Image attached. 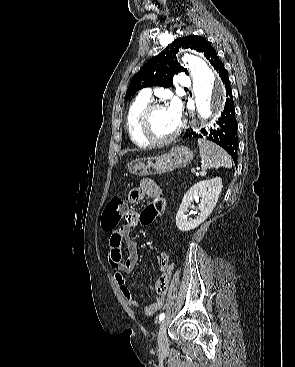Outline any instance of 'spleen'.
I'll return each instance as SVG.
<instances>
[{
  "instance_id": "obj_1",
  "label": "spleen",
  "mask_w": 295,
  "mask_h": 367,
  "mask_svg": "<svg viewBox=\"0 0 295 367\" xmlns=\"http://www.w3.org/2000/svg\"><path fill=\"white\" fill-rule=\"evenodd\" d=\"M200 157L202 159L203 173L207 169H214L225 167L230 169L232 167L231 157L220 146L207 141L198 140Z\"/></svg>"
}]
</instances>
